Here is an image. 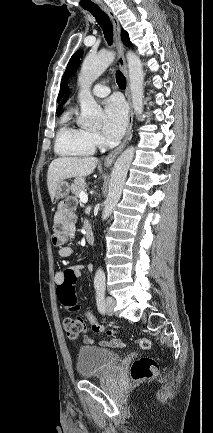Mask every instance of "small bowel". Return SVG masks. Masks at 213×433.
Masks as SVG:
<instances>
[{
    "label": "small bowel",
    "mask_w": 213,
    "mask_h": 433,
    "mask_svg": "<svg viewBox=\"0 0 213 433\" xmlns=\"http://www.w3.org/2000/svg\"><path fill=\"white\" fill-rule=\"evenodd\" d=\"M71 206L72 202L70 201H64L60 203L54 216L52 243L57 246V253L62 258H68L74 252L73 247L65 245L66 241L68 239H73L76 234V218L71 211ZM90 268V265H77L65 269H72L78 277L83 269ZM64 270H61L55 274V283L57 284L58 288H60L64 283ZM83 333L84 342L87 344H93L94 339L87 334L85 329L83 330ZM101 344L108 347H121L123 345L120 339L105 340L102 341Z\"/></svg>",
    "instance_id": "obj_1"
}]
</instances>
